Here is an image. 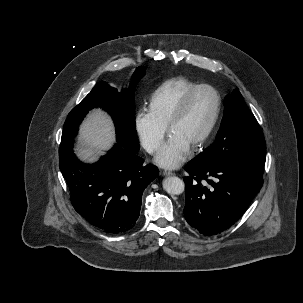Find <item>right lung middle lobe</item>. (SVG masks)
<instances>
[{
    "label": "right lung middle lobe",
    "instance_id": "obj_1",
    "mask_svg": "<svg viewBox=\"0 0 303 303\" xmlns=\"http://www.w3.org/2000/svg\"><path fill=\"white\" fill-rule=\"evenodd\" d=\"M145 67H138L128 89L117 92L106 82L101 81L92 91L68 114L63 127L61 145L72 142L79 124L87 112L95 107L106 110L114 120L117 142L130 151L137 152L140 145L135 128L134 85L143 76Z\"/></svg>",
    "mask_w": 303,
    "mask_h": 303
}]
</instances>
